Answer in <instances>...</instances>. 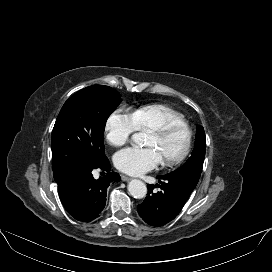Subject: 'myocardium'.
<instances>
[{
  "label": "myocardium",
  "mask_w": 272,
  "mask_h": 272,
  "mask_svg": "<svg viewBox=\"0 0 272 272\" xmlns=\"http://www.w3.org/2000/svg\"><path fill=\"white\" fill-rule=\"evenodd\" d=\"M177 131L184 132L185 143L178 154L163 160V164L166 166L177 165L188 156L193 143V130L187 123H169L150 131V133L158 136L161 139L167 138Z\"/></svg>",
  "instance_id": "obj_1"
}]
</instances>
